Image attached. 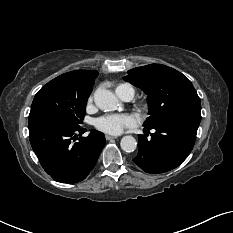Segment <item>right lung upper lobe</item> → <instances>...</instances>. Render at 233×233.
<instances>
[{"instance_id":"right-lung-upper-lobe-1","label":"right lung upper lobe","mask_w":233,"mask_h":233,"mask_svg":"<svg viewBox=\"0 0 233 233\" xmlns=\"http://www.w3.org/2000/svg\"><path fill=\"white\" fill-rule=\"evenodd\" d=\"M98 72L95 70H77L64 73L58 76L60 79H64L71 84L77 86H84L95 82V78L98 76Z\"/></svg>"}]
</instances>
